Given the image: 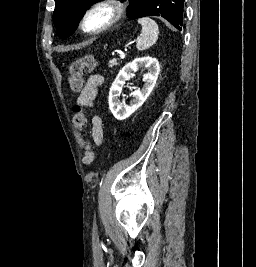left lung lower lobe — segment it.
<instances>
[{"label":"left lung lower lobe","instance_id":"left-lung-lower-lobe-1","mask_svg":"<svg viewBox=\"0 0 256 267\" xmlns=\"http://www.w3.org/2000/svg\"><path fill=\"white\" fill-rule=\"evenodd\" d=\"M183 3L184 0H175V27L178 30H181L183 26Z\"/></svg>","mask_w":256,"mask_h":267}]
</instances>
